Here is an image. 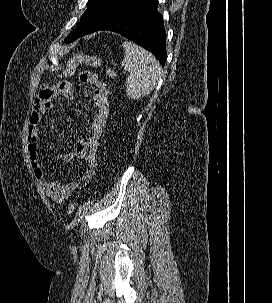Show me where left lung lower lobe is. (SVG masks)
<instances>
[{
  "label": "left lung lower lobe",
  "mask_w": 272,
  "mask_h": 303,
  "mask_svg": "<svg viewBox=\"0 0 272 303\" xmlns=\"http://www.w3.org/2000/svg\"><path fill=\"white\" fill-rule=\"evenodd\" d=\"M157 7L158 0H142L102 21L82 36L99 30L116 32L152 52L164 66L166 61V32L163 26V17L157 11Z\"/></svg>",
  "instance_id": "0a47b994"
}]
</instances>
